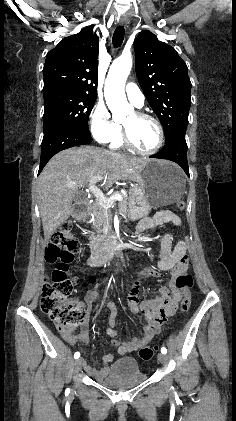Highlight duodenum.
Here are the masks:
<instances>
[{
  "instance_id": "duodenum-1",
  "label": "duodenum",
  "mask_w": 236,
  "mask_h": 421,
  "mask_svg": "<svg viewBox=\"0 0 236 421\" xmlns=\"http://www.w3.org/2000/svg\"><path fill=\"white\" fill-rule=\"evenodd\" d=\"M88 206H89L88 200H83V201H80V202L76 203L74 208H73V217L79 222H84L87 218ZM118 245H119V240H118L117 236H115V235L108 236L106 241L104 242V244L101 247H99L88 258V260H87L88 265H90V266H100V265L104 264L105 262H107L108 260H110L112 258L114 252L118 248ZM162 260H171V258L168 257V256H164L162 258ZM174 301H175V296H170V294L165 289H162L160 291V296L153 303V305H155V308H154L155 311H153V315H149L150 325L145 330V332H146L145 337L156 333V331H157L156 324H155L156 318H160V316H162V315H171L172 314ZM146 312L150 313V309L146 308ZM109 334L111 336H115L116 331L110 328ZM113 342H114L115 345H121L120 348H119L121 353H124L128 350H131L135 345V342L122 343V344L119 341H115V340ZM111 358H112L111 355H107V356L104 357V361L109 362V361H111ZM88 371L94 377H96L98 379H100L103 375L102 370L96 371L92 368H88Z\"/></svg>"
}]
</instances>
